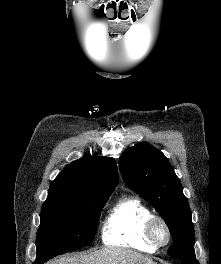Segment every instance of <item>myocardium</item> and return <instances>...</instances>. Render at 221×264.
<instances>
[{"instance_id": "f54148a6", "label": "myocardium", "mask_w": 221, "mask_h": 264, "mask_svg": "<svg viewBox=\"0 0 221 264\" xmlns=\"http://www.w3.org/2000/svg\"><path fill=\"white\" fill-rule=\"evenodd\" d=\"M161 228L164 231L165 238L161 239L158 236V229ZM145 234L147 239L156 248L163 247L171 241V230L167 222L158 215H151L145 225Z\"/></svg>"}]
</instances>
